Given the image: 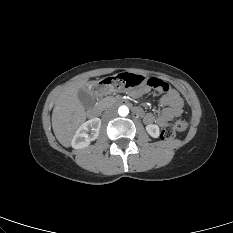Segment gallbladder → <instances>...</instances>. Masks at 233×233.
I'll return each instance as SVG.
<instances>
[{"label":"gallbladder","mask_w":233,"mask_h":233,"mask_svg":"<svg viewBox=\"0 0 233 233\" xmlns=\"http://www.w3.org/2000/svg\"><path fill=\"white\" fill-rule=\"evenodd\" d=\"M78 99L80 103L86 108L89 109L94 105V97L90 94L87 89L82 88L78 92Z\"/></svg>","instance_id":"gallbladder-1"}]
</instances>
